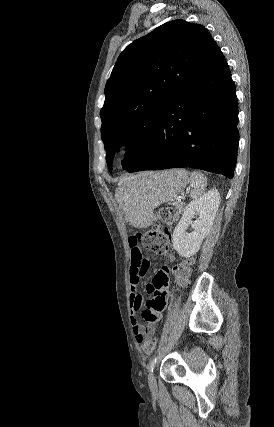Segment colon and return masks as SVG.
<instances>
[{"label": "colon", "instance_id": "5ec220e1", "mask_svg": "<svg viewBox=\"0 0 274 427\" xmlns=\"http://www.w3.org/2000/svg\"><path fill=\"white\" fill-rule=\"evenodd\" d=\"M175 218L176 210L174 207L166 206L159 209L158 219L165 224V227L161 228L160 224H153L146 233L142 235L143 244L141 245V254L144 253V251L153 252L154 248H168V237L166 234L169 231L168 227L172 225ZM188 272L189 270L186 265L177 264L174 266L173 273L179 284L185 282ZM159 345V337H148L147 341H144L141 346V353L151 354L152 350H155ZM136 360L138 364H149L151 359L149 355H138Z\"/></svg>", "mask_w": 274, "mask_h": 427}]
</instances>
